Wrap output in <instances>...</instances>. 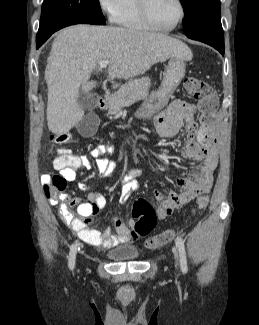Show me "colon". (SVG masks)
<instances>
[{"mask_svg":"<svg viewBox=\"0 0 259 325\" xmlns=\"http://www.w3.org/2000/svg\"><path fill=\"white\" fill-rule=\"evenodd\" d=\"M183 85L190 96L200 100V105L203 110L200 117V123L205 130L211 133L212 129L217 128V123L213 121L218 103L215 95L210 89V86L205 81L192 76L186 77ZM71 139V135L64 134L58 137L56 141L61 144H66L69 143ZM65 152L66 151H62L61 155ZM65 188L66 180L61 175L55 174L43 182L45 195L51 203L58 202ZM208 202V193H201L192 209V214L204 210L208 205ZM132 214L136 219L134 231L140 236H147L157 222V214L152 205L145 199L139 198L133 203ZM175 234V229H168L159 234L147 236L144 245L148 249H158L172 241Z\"/></svg>","mask_w":259,"mask_h":325,"instance_id":"colon-1","label":"colon"}]
</instances>
